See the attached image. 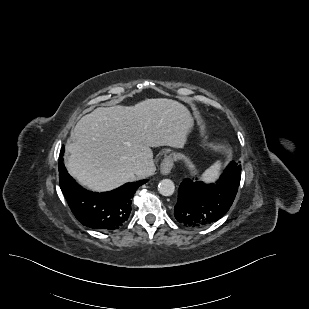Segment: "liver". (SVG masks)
Returning <instances> with one entry per match:
<instances>
[{
	"instance_id": "6515ba94",
	"label": "liver",
	"mask_w": 309,
	"mask_h": 309,
	"mask_svg": "<svg viewBox=\"0 0 309 309\" xmlns=\"http://www.w3.org/2000/svg\"><path fill=\"white\" fill-rule=\"evenodd\" d=\"M191 125L188 109L171 99L96 108L76 124L66 145V167L83 186L112 190L136 176L154 174L150 147L182 148ZM134 161L142 164L140 174L134 171Z\"/></svg>"
}]
</instances>
